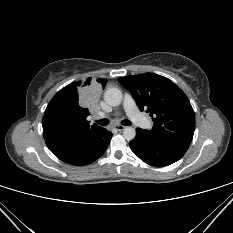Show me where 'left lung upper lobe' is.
<instances>
[{
	"label": "left lung upper lobe",
	"instance_id": "5c2ea615",
	"mask_svg": "<svg viewBox=\"0 0 233 233\" xmlns=\"http://www.w3.org/2000/svg\"><path fill=\"white\" fill-rule=\"evenodd\" d=\"M119 82L131 92L139 109L154 117V127L145 130L146 133L160 142L189 147L195 130V114L177 85L154 73L122 77Z\"/></svg>",
	"mask_w": 233,
	"mask_h": 233
}]
</instances>
